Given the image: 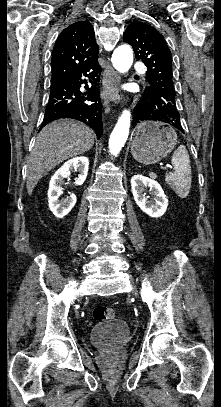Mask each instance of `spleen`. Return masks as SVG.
<instances>
[{
    "instance_id": "spleen-1",
    "label": "spleen",
    "mask_w": 221,
    "mask_h": 407,
    "mask_svg": "<svg viewBox=\"0 0 221 407\" xmlns=\"http://www.w3.org/2000/svg\"><path fill=\"white\" fill-rule=\"evenodd\" d=\"M171 163L175 171L171 175L166 174L165 181L180 198H185L191 188L192 174L189 154L184 145L174 151Z\"/></svg>"
}]
</instances>
